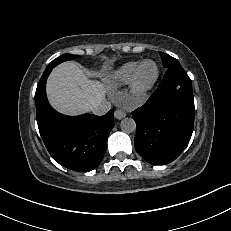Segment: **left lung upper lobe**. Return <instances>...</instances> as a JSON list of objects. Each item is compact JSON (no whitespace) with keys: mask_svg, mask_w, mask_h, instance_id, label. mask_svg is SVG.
<instances>
[{"mask_svg":"<svg viewBox=\"0 0 231 231\" xmlns=\"http://www.w3.org/2000/svg\"><path fill=\"white\" fill-rule=\"evenodd\" d=\"M160 56L162 58V62L165 68H169L173 65H179L180 63L178 62V60H176L175 58L171 57L168 54L159 52Z\"/></svg>","mask_w":231,"mask_h":231,"instance_id":"5c2ea615","label":"left lung upper lobe"}]
</instances>
